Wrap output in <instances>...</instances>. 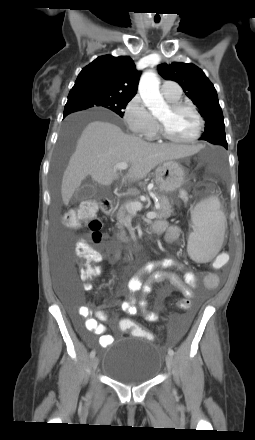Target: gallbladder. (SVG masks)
Masks as SVG:
<instances>
[{
    "label": "gallbladder",
    "instance_id": "1",
    "mask_svg": "<svg viewBox=\"0 0 255 440\" xmlns=\"http://www.w3.org/2000/svg\"><path fill=\"white\" fill-rule=\"evenodd\" d=\"M95 186L93 183H84L74 194L73 201H83L92 198L96 193Z\"/></svg>",
    "mask_w": 255,
    "mask_h": 440
}]
</instances>
